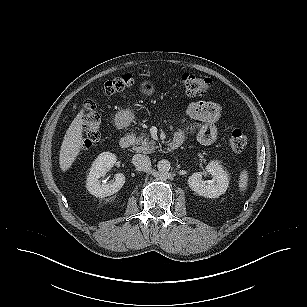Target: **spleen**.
Returning <instances> with one entry per match:
<instances>
[{
    "mask_svg": "<svg viewBox=\"0 0 307 307\" xmlns=\"http://www.w3.org/2000/svg\"><path fill=\"white\" fill-rule=\"evenodd\" d=\"M239 189L241 192H244L247 189V185H248V171L247 170H243L240 173V178H239Z\"/></svg>",
    "mask_w": 307,
    "mask_h": 307,
    "instance_id": "obj_1",
    "label": "spleen"
}]
</instances>
